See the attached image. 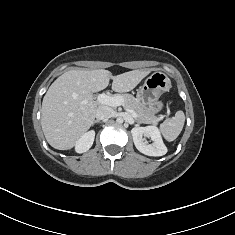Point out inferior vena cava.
Listing matches in <instances>:
<instances>
[{"mask_svg": "<svg viewBox=\"0 0 235 235\" xmlns=\"http://www.w3.org/2000/svg\"><path fill=\"white\" fill-rule=\"evenodd\" d=\"M95 116L97 120H107L113 116V110L108 106H99Z\"/></svg>", "mask_w": 235, "mask_h": 235, "instance_id": "obj_1", "label": "inferior vena cava"}]
</instances>
